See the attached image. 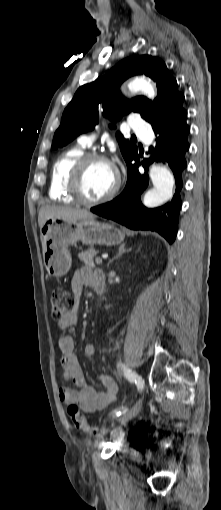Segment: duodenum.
<instances>
[{"mask_svg":"<svg viewBox=\"0 0 221 510\" xmlns=\"http://www.w3.org/2000/svg\"><path fill=\"white\" fill-rule=\"evenodd\" d=\"M94 286L98 293H102L105 287V274L102 270H97L94 275Z\"/></svg>","mask_w":221,"mask_h":510,"instance_id":"duodenum-1","label":"duodenum"}]
</instances>
